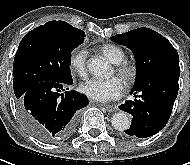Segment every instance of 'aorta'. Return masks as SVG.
Instances as JSON below:
<instances>
[{"label":"aorta","instance_id":"obj_1","mask_svg":"<svg viewBox=\"0 0 190 165\" xmlns=\"http://www.w3.org/2000/svg\"><path fill=\"white\" fill-rule=\"evenodd\" d=\"M89 72L97 77H107L110 74V65L102 57H93L88 61ZM131 124L130 118L127 113L119 112L112 117V126L118 131L129 129Z\"/></svg>","mask_w":190,"mask_h":165}]
</instances>
